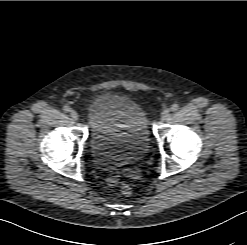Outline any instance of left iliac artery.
I'll use <instances>...</instances> for the list:
<instances>
[{"label":"left iliac artery","mask_w":247,"mask_h":245,"mask_svg":"<svg viewBox=\"0 0 247 245\" xmlns=\"http://www.w3.org/2000/svg\"><path fill=\"white\" fill-rule=\"evenodd\" d=\"M178 109H179V106L176 103L171 106V111H177Z\"/></svg>","instance_id":"44dca946"}]
</instances>
